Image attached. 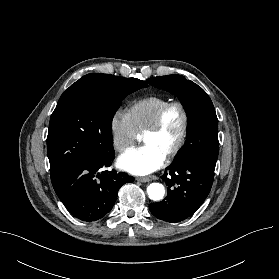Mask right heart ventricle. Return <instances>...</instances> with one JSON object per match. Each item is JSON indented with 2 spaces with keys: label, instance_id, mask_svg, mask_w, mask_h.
<instances>
[{
  "label": "right heart ventricle",
  "instance_id": "right-heart-ventricle-1",
  "mask_svg": "<svg viewBox=\"0 0 279 279\" xmlns=\"http://www.w3.org/2000/svg\"><path fill=\"white\" fill-rule=\"evenodd\" d=\"M170 100L161 96H148L134 101L127 109L138 133H143L154 121L160 108Z\"/></svg>",
  "mask_w": 279,
  "mask_h": 279
}]
</instances>
